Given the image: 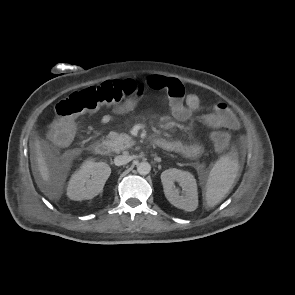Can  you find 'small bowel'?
Instances as JSON below:
<instances>
[{
  "label": "small bowel",
  "instance_id": "c3829d8e",
  "mask_svg": "<svg viewBox=\"0 0 295 295\" xmlns=\"http://www.w3.org/2000/svg\"><path fill=\"white\" fill-rule=\"evenodd\" d=\"M138 88L135 95L125 102L113 107L110 114L102 117L101 122L108 124L114 116L124 115L133 111L138 105L147 88L154 90H164L169 96V107L171 116L178 121L188 120L194 112L201 107L200 98L196 94H186L183 84L175 78L162 75H150L144 82L137 83ZM204 123L210 128H227L235 130L239 127V122L224 103H217L213 107L212 113L203 118ZM160 148L176 152L186 157L195 158L202 154L204 147L200 142L186 143L179 140L161 139Z\"/></svg>",
  "mask_w": 295,
  "mask_h": 295
}]
</instances>
